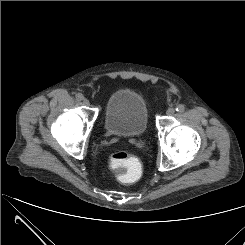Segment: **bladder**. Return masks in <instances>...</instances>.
<instances>
[{"label": "bladder", "mask_w": 245, "mask_h": 245, "mask_svg": "<svg viewBox=\"0 0 245 245\" xmlns=\"http://www.w3.org/2000/svg\"><path fill=\"white\" fill-rule=\"evenodd\" d=\"M148 109L143 96L131 89L112 93L104 106V128L115 136L135 137L144 133Z\"/></svg>", "instance_id": "1"}]
</instances>
